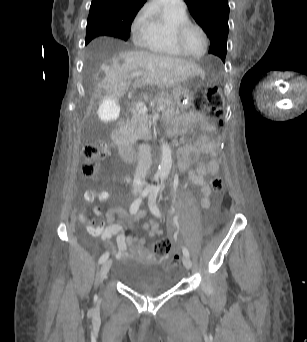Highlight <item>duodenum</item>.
Masks as SVG:
<instances>
[{
  "mask_svg": "<svg viewBox=\"0 0 307 342\" xmlns=\"http://www.w3.org/2000/svg\"><path fill=\"white\" fill-rule=\"evenodd\" d=\"M118 125L112 134L113 144L116 147L118 153L124 159H131L135 157L134 151L128 145L127 136L124 128L127 126V118L119 117Z\"/></svg>",
  "mask_w": 307,
  "mask_h": 342,
  "instance_id": "410a0bca",
  "label": "duodenum"
}]
</instances>
